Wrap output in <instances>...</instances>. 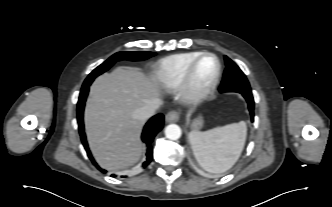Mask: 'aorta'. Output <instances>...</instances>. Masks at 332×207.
<instances>
[{"label":"aorta","mask_w":332,"mask_h":207,"mask_svg":"<svg viewBox=\"0 0 332 207\" xmlns=\"http://www.w3.org/2000/svg\"><path fill=\"white\" fill-rule=\"evenodd\" d=\"M181 134V128L176 124H170L165 128V136L170 140L179 139Z\"/></svg>","instance_id":"1"}]
</instances>
